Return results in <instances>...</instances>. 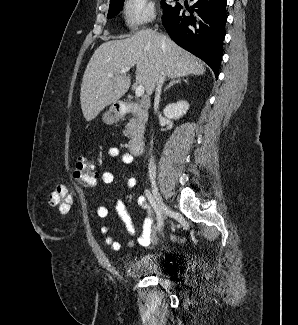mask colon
I'll list each match as a JSON object with an SVG mask.
<instances>
[{
  "mask_svg": "<svg viewBox=\"0 0 298 325\" xmlns=\"http://www.w3.org/2000/svg\"><path fill=\"white\" fill-rule=\"evenodd\" d=\"M96 178L97 173L94 162L84 156H80L73 170L75 182L81 187L88 188L95 186ZM47 203L62 214L68 212L72 204L70 189L67 186H59L48 195Z\"/></svg>",
  "mask_w": 298,
  "mask_h": 325,
  "instance_id": "5ec220e1",
  "label": "colon"
}]
</instances>
